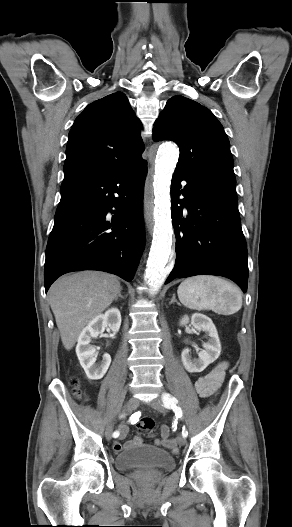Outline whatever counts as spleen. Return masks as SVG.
Here are the masks:
<instances>
[{"label": "spleen", "instance_id": "spleen-1", "mask_svg": "<svg viewBox=\"0 0 292 527\" xmlns=\"http://www.w3.org/2000/svg\"><path fill=\"white\" fill-rule=\"evenodd\" d=\"M177 294L180 302L189 309L234 314L242 307V294L238 287L216 276L186 278L179 285Z\"/></svg>", "mask_w": 292, "mask_h": 527}]
</instances>
